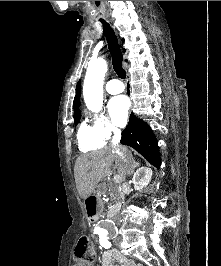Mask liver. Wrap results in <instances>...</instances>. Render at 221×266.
Listing matches in <instances>:
<instances>
[{
    "instance_id": "liver-1",
    "label": "liver",
    "mask_w": 221,
    "mask_h": 266,
    "mask_svg": "<svg viewBox=\"0 0 221 266\" xmlns=\"http://www.w3.org/2000/svg\"><path fill=\"white\" fill-rule=\"evenodd\" d=\"M127 152L132 157L131 152L128 150ZM112 166L117 169L121 181H125L127 175L125 163L111 147H105L77 158L74 175L76 188L82 199H87L91 189H95L103 178L111 175Z\"/></svg>"
}]
</instances>
